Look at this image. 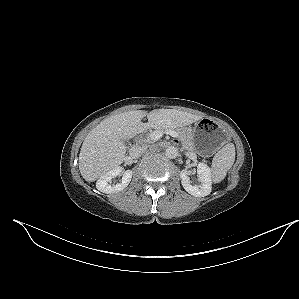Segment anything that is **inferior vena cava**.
Listing matches in <instances>:
<instances>
[{
  "label": "inferior vena cava",
  "instance_id": "602c4592",
  "mask_svg": "<svg viewBox=\"0 0 299 299\" xmlns=\"http://www.w3.org/2000/svg\"><path fill=\"white\" fill-rule=\"evenodd\" d=\"M147 149V146L145 145H133L130 149H129V155L136 159L139 158Z\"/></svg>",
  "mask_w": 299,
  "mask_h": 299
}]
</instances>
